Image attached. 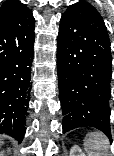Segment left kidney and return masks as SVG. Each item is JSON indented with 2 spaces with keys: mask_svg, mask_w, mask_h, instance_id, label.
I'll list each match as a JSON object with an SVG mask.
<instances>
[{
  "mask_svg": "<svg viewBox=\"0 0 114 156\" xmlns=\"http://www.w3.org/2000/svg\"><path fill=\"white\" fill-rule=\"evenodd\" d=\"M70 156H85L78 145H74L70 150Z\"/></svg>",
  "mask_w": 114,
  "mask_h": 156,
  "instance_id": "obj_1",
  "label": "left kidney"
}]
</instances>
